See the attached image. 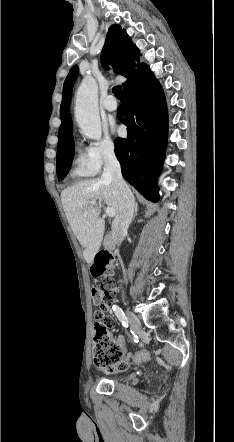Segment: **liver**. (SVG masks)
<instances>
[{"label": "liver", "instance_id": "liver-1", "mask_svg": "<svg viewBox=\"0 0 234 442\" xmlns=\"http://www.w3.org/2000/svg\"><path fill=\"white\" fill-rule=\"evenodd\" d=\"M61 201L73 233L84 248V259L92 264L101 247L105 227L100 207L93 206L92 202L103 201L117 214L119 195L112 181L97 178L66 188L61 193Z\"/></svg>", "mask_w": 234, "mask_h": 442}]
</instances>
